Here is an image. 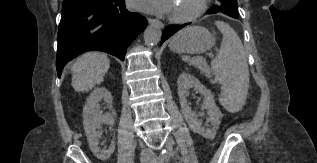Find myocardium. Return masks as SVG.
Listing matches in <instances>:
<instances>
[{"label": "myocardium", "mask_w": 317, "mask_h": 163, "mask_svg": "<svg viewBox=\"0 0 317 163\" xmlns=\"http://www.w3.org/2000/svg\"><path fill=\"white\" fill-rule=\"evenodd\" d=\"M208 1L209 0H196L194 8L190 12L182 15L170 14L169 19L170 21L178 24L191 22L206 12L208 8Z\"/></svg>", "instance_id": "obj_1"}]
</instances>
